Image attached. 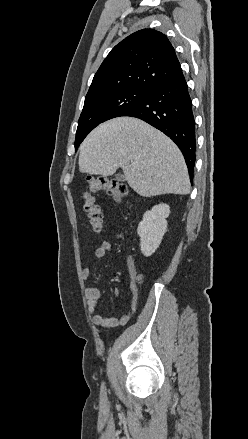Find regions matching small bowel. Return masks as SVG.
Wrapping results in <instances>:
<instances>
[{
    "label": "small bowel",
    "mask_w": 248,
    "mask_h": 439,
    "mask_svg": "<svg viewBox=\"0 0 248 439\" xmlns=\"http://www.w3.org/2000/svg\"><path fill=\"white\" fill-rule=\"evenodd\" d=\"M112 252V243L109 240H105L101 243L99 247L94 250L93 256L96 260H100L105 257L107 253ZM128 272L130 276V292H131V300L128 306L127 311L119 318L114 317H106L102 314L96 313V309L98 306V302L101 298V291L97 288L88 287L85 290V296L87 298V305L89 312L93 315V322L97 326L110 328L119 325L127 324L131 318L134 316L137 305H138V297H139V289L137 286V273L134 262L131 258L128 259ZM92 274V270L90 268H84L82 270L81 276L84 280L90 278ZM115 295L118 296V290L114 291Z\"/></svg>",
    "instance_id": "small-bowel-1"
}]
</instances>
